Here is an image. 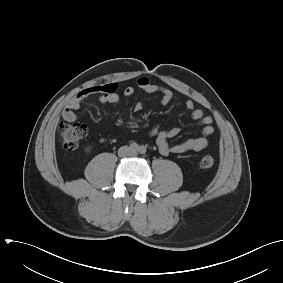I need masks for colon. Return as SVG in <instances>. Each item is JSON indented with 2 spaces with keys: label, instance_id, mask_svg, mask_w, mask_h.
Returning <instances> with one entry per match:
<instances>
[{
  "label": "colon",
  "instance_id": "5ec220e1",
  "mask_svg": "<svg viewBox=\"0 0 283 283\" xmlns=\"http://www.w3.org/2000/svg\"><path fill=\"white\" fill-rule=\"evenodd\" d=\"M58 131L64 148L73 150L78 147L80 141L85 137L87 128L81 122H62ZM199 164L200 167L207 169L214 166L215 160L210 155H204Z\"/></svg>",
  "mask_w": 283,
  "mask_h": 283
}]
</instances>
